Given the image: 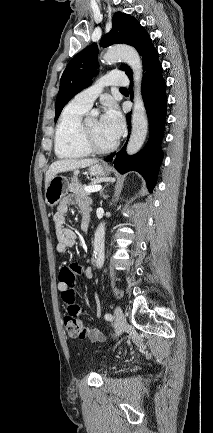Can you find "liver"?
Instances as JSON below:
<instances>
[{"mask_svg": "<svg viewBox=\"0 0 213 433\" xmlns=\"http://www.w3.org/2000/svg\"><path fill=\"white\" fill-rule=\"evenodd\" d=\"M98 161L96 159H64L52 163L46 173L45 188L48 186L50 180L58 173L72 171L80 168L91 166Z\"/></svg>", "mask_w": 213, "mask_h": 433, "instance_id": "1", "label": "liver"}]
</instances>
